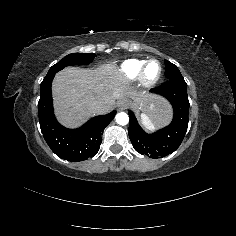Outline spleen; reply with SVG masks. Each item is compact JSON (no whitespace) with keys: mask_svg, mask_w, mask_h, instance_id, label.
<instances>
[{"mask_svg":"<svg viewBox=\"0 0 236 236\" xmlns=\"http://www.w3.org/2000/svg\"><path fill=\"white\" fill-rule=\"evenodd\" d=\"M141 122L147 130H149V131L155 130V126H154L152 120L148 116H146L145 114H141Z\"/></svg>","mask_w":236,"mask_h":236,"instance_id":"1","label":"spleen"}]
</instances>
